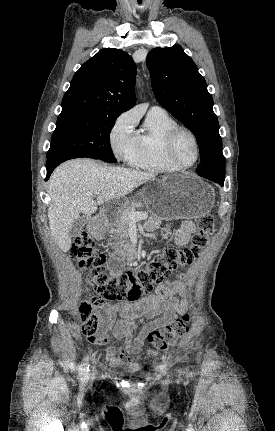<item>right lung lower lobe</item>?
<instances>
[{"instance_id":"right-lung-lower-lobe-1","label":"right lung lower lobe","mask_w":275,"mask_h":431,"mask_svg":"<svg viewBox=\"0 0 275 431\" xmlns=\"http://www.w3.org/2000/svg\"><path fill=\"white\" fill-rule=\"evenodd\" d=\"M80 157H89V156H85V155H68V156H64V157H60V158H55V159H50L47 160L46 162V169H47V176H46V180L49 178V176L51 175L52 171L62 162L69 160V159H73V158H80ZM89 158H93V157H89ZM97 159V158H94Z\"/></svg>"}]
</instances>
